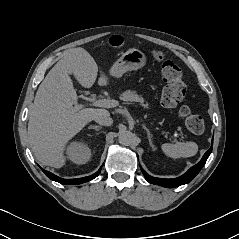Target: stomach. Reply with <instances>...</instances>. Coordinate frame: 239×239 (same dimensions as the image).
I'll list each match as a JSON object with an SVG mask.
<instances>
[{"label": "stomach", "mask_w": 239, "mask_h": 239, "mask_svg": "<svg viewBox=\"0 0 239 239\" xmlns=\"http://www.w3.org/2000/svg\"><path fill=\"white\" fill-rule=\"evenodd\" d=\"M146 64V55L139 49L127 50L111 67L110 74L113 77H121L128 71L137 70Z\"/></svg>", "instance_id": "stomach-1"}]
</instances>
